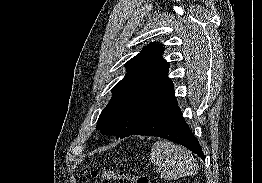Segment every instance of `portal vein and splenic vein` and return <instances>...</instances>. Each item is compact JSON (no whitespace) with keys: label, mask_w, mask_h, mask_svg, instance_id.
Instances as JSON below:
<instances>
[{"label":"portal vein and splenic vein","mask_w":262,"mask_h":183,"mask_svg":"<svg viewBox=\"0 0 262 183\" xmlns=\"http://www.w3.org/2000/svg\"><path fill=\"white\" fill-rule=\"evenodd\" d=\"M154 172H155L156 174H158V173H160V169H156Z\"/></svg>","instance_id":"18ae733b"}]
</instances>
